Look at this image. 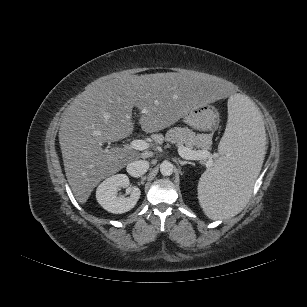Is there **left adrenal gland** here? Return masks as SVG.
I'll use <instances>...</instances> for the list:
<instances>
[{
    "mask_svg": "<svg viewBox=\"0 0 307 307\" xmlns=\"http://www.w3.org/2000/svg\"><path fill=\"white\" fill-rule=\"evenodd\" d=\"M178 162L180 163L181 166H184V165H187V164L195 165L194 163H192L190 161H183V160H180V159H178Z\"/></svg>",
    "mask_w": 307,
    "mask_h": 307,
    "instance_id": "1",
    "label": "left adrenal gland"
}]
</instances>
